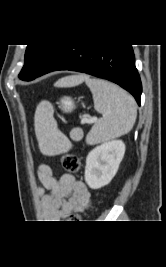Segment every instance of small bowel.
<instances>
[{"mask_svg":"<svg viewBox=\"0 0 166 267\" xmlns=\"http://www.w3.org/2000/svg\"><path fill=\"white\" fill-rule=\"evenodd\" d=\"M41 208L47 220H61L68 214L81 211L90 204V194L84 183L71 174L57 178L53 169L43 164L38 169Z\"/></svg>","mask_w":166,"mask_h":267,"instance_id":"small-bowel-1","label":"small bowel"}]
</instances>
